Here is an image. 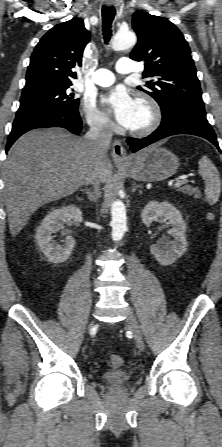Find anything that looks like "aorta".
Wrapping results in <instances>:
<instances>
[{"label": "aorta", "instance_id": "1", "mask_svg": "<svg viewBox=\"0 0 222 447\" xmlns=\"http://www.w3.org/2000/svg\"><path fill=\"white\" fill-rule=\"evenodd\" d=\"M135 43L136 35L132 31H118L111 46L113 50L121 51L134 46ZM111 217L112 238L114 241H118L127 229L126 208L122 201L116 200L111 204Z\"/></svg>", "mask_w": 222, "mask_h": 447}]
</instances>
